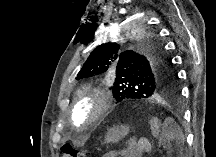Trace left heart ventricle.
Segmentation results:
<instances>
[{
  "instance_id": "left-heart-ventricle-1",
  "label": "left heart ventricle",
  "mask_w": 216,
  "mask_h": 157,
  "mask_svg": "<svg viewBox=\"0 0 216 157\" xmlns=\"http://www.w3.org/2000/svg\"><path fill=\"white\" fill-rule=\"evenodd\" d=\"M91 113V103L89 101H83L75 113L76 124L84 123Z\"/></svg>"
}]
</instances>
